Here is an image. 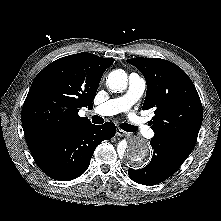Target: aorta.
<instances>
[{"instance_id":"762f6f07","label":"aorta","mask_w":221,"mask_h":221,"mask_svg":"<svg viewBox=\"0 0 221 221\" xmlns=\"http://www.w3.org/2000/svg\"><path fill=\"white\" fill-rule=\"evenodd\" d=\"M127 74L121 69L113 70L109 73L107 84L111 92H122L127 88ZM118 154L128 165L138 168L148 163L150 159V146L146 139L134 136L128 140H123L117 147Z\"/></svg>"}]
</instances>
